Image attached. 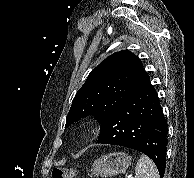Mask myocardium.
<instances>
[{
  "mask_svg": "<svg viewBox=\"0 0 194 178\" xmlns=\"http://www.w3.org/2000/svg\"><path fill=\"white\" fill-rule=\"evenodd\" d=\"M92 132H93V130H92L91 126H85L82 128L80 135L83 138H86V137H89L92 134Z\"/></svg>",
  "mask_w": 194,
  "mask_h": 178,
  "instance_id": "1",
  "label": "myocardium"
}]
</instances>
